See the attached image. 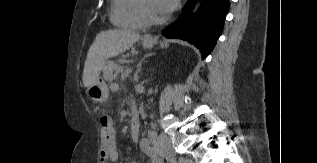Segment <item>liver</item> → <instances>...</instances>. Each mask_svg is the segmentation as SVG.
Listing matches in <instances>:
<instances>
[{"mask_svg":"<svg viewBox=\"0 0 317 163\" xmlns=\"http://www.w3.org/2000/svg\"><path fill=\"white\" fill-rule=\"evenodd\" d=\"M141 38L140 34L127 30H106L97 34L89 48L83 70V84L88 88L99 79L108 58L128 50Z\"/></svg>","mask_w":317,"mask_h":163,"instance_id":"obj_1","label":"liver"}]
</instances>
